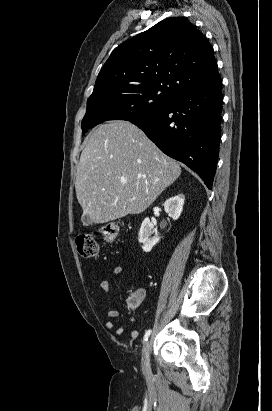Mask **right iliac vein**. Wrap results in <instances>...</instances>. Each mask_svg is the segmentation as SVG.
I'll return each mask as SVG.
<instances>
[{"instance_id": "63e3f726", "label": "right iliac vein", "mask_w": 272, "mask_h": 411, "mask_svg": "<svg viewBox=\"0 0 272 411\" xmlns=\"http://www.w3.org/2000/svg\"><path fill=\"white\" fill-rule=\"evenodd\" d=\"M150 347H151V343L150 341H147L144 344L143 349H142V363L146 371L149 369V366H150V357H149Z\"/></svg>"}]
</instances>
